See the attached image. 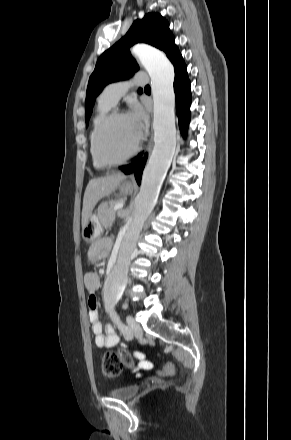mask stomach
Returning <instances> with one entry per match:
<instances>
[{"label": "stomach", "instance_id": "1", "mask_svg": "<svg viewBox=\"0 0 291 440\" xmlns=\"http://www.w3.org/2000/svg\"><path fill=\"white\" fill-rule=\"evenodd\" d=\"M120 193L127 195L133 192V187L123 182L119 187ZM102 231L101 224L96 215H91L86 226L82 229V237L84 241L91 242L96 239Z\"/></svg>", "mask_w": 291, "mask_h": 440}]
</instances>
